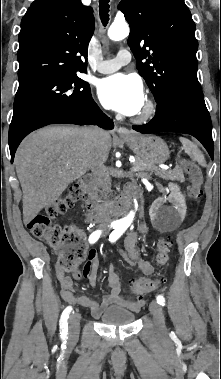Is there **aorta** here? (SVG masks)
Here are the masks:
<instances>
[{
  "label": "aorta",
  "instance_id": "aorta-1",
  "mask_svg": "<svg viewBox=\"0 0 221 379\" xmlns=\"http://www.w3.org/2000/svg\"><path fill=\"white\" fill-rule=\"evenodd\" d=\"M129 26L127 23H113L109 30L108 36L111 40L119 41L129 35ZM134 218V212L131 211L127 216L120 220L121 224L125 227L129 226Z\"/></svg>",
  "mask_w": 221,
  "mask_h": 379
}]
</instances>
